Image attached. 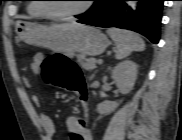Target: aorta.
<instances>
[{
  "mask_svg": "<svg viewBox=\"0 0 182 140\" xmlns=\"http://www.w3.org/2000/svg\"><path fill=\"white\" fill-rule=\"evenodd\" d=\"M129 5H130L132 8H135L136 5H137V2L131 1V2H129Z\"/></svg>",
  "mask_w": 182,
  "mask_h": 140,
  "instance_id": "obj_1",
  "label": "aorta"
}]
</instances>
